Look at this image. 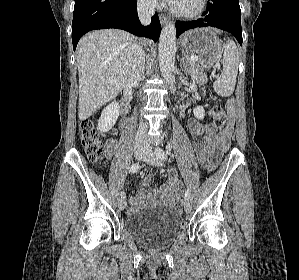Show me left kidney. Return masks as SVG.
Segmentation results:
<instances>
[{"instance_id":"left-kidney-1","label":"left kidney","mask_w":299,"mask_h":280,"mask_svg":"<svg viewBox=\"0 0 299 280\" xmlns=\"http://www.w3.org/2000/svg\"><path fill=\"white\" fill-rule=\"evenodd\" d=\"M193 113L197 119L202 120L205 115V110L202 106H198V107L194 108Z\"/></svg>"}]
</instances>
